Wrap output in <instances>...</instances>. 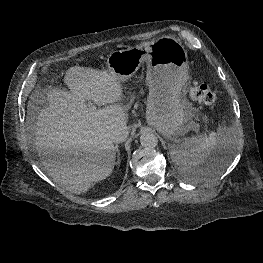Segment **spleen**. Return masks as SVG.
I'll list each match as a JSON object with an SVG mask.
<instances>
[{
    "instance_id": "1",
    "label": "spleen",
    "mask_w": 263,
    "mask_h": 263,
    "mask_svg": "<svg viewBox=\"0 0 263 263\" xmlns=\"http://www.w3.org/2000/svg\"><path fill=\"white\" fill-rule=\"evenodd\" d=\"M240 135L234 127L218 128L217 132L199 134L184 138L179 144L170 147L172 161L178 166L179 170L192 182H199L207 179L218 178L228 167L231 156L237 149ZM221 148L224 156L221 158L218 170L209 175L201 176L195 172L199 166L215 148Z\"/></svg>"
}]
</instances>
